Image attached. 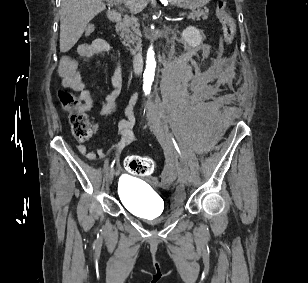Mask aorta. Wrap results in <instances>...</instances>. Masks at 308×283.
<instances>
[{"instance_id": "aorta-1", "label": "aorta", "mask_w": 308, "mask_h": 283, "mask_svg": "<svg viewBox=\"0 0 308 283\" xmlns=\"http://www.w3.org/2000/svg\"><path fill=\"white\" fill-rule=\"evenodd\" d=\"M156 61L154 51L150 48L147 52L146 69L144 71V87L150 88L154 80Z\"/></svg>"}]
</instances>
